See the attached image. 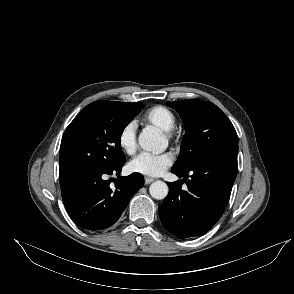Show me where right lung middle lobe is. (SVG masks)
<instances>
[{
	"label": "right lung middle lobe",
	"mask_w": 294,
	"mask_h": 294,
	"mask_svg": "<svg viewBox=\"0 0 294 294\" xmlns=\"http://www.w3.org/2000/svg\"><path fill=\"white\" fill-rule=\"evenodd\" d=\"M142 107L141 102L112 101H96L84 107L64 132L59 174L111 169L124 163L121 134Z\"/></svg>",
	"instance_id": "1"
}]
</instances>
